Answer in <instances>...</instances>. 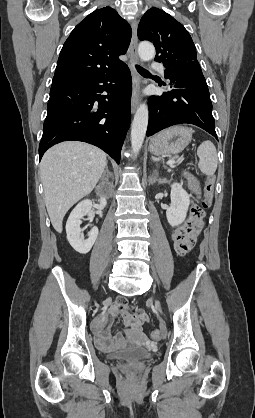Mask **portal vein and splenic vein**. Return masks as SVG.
<instances>
[{
    "instance_id": "portal-vein-and-splenic-vein-1",
    "label": "portal vein and splenic vein",
    "mask_w": 255,
    "mask_h": 418,
    "mask_svg": "<svg viewBox=\"0 0 255 418\" xmlns=\"http://www.w3.org/2000/svg\"><path fill=\"white\" fill-rule=\"evenodd\" d=\"M175 163L174 159H170L167 161V165H173Z\"/></svg>"
}]
</instances>
